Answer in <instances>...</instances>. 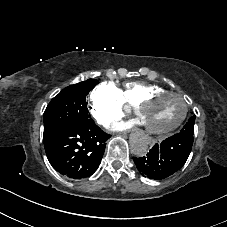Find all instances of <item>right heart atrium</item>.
Returning a JSON list of instances; mask_svg holds the SVG:
<instances>
[{
    "label": "right heart atrium",
    "instance_id": "right-heart-atrium-1",
    "mask_svg": "<svg viewBox=\"0 0 227 227\" xmlns=\"http://www.w3.org/2000/svg\"><path fill=\"white\" fill-rule=\"evenodd\" d=\"M91 113L105 127L117 124L125 114L120 89L112 82L97 85L90 94Z\"/></svg>",
    "mask_w": 227,
    "mask_h": 227
}]
</instances>
